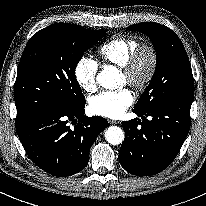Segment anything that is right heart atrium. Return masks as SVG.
I'll list each match as a JSON object with an SVG mask.
<instances>
[{
  "label": "right heart atrium",
  "mask_w": 206,
  "mask_h": 206,
  "mask_svg": "<svg viewBox=\"0 0 206 206\" xmlns=\"http://www.w3.org/2000/svg\"><path fill=\"white\" fill-rule=\"evenodd\" d=\"M98 63L88 56H82L74 68V78L80 89L86 94H92L97 88Z\"/></svg>",
  "instance_id": "right-heart-atrium-1"
}]
</instances>
